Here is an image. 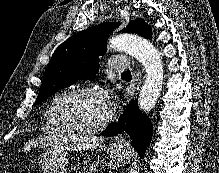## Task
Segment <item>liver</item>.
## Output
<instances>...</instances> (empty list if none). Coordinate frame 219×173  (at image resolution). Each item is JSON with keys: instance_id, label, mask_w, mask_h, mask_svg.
I'll use <instances>...</instances> for the list:
<instances>
[{"instance_id": "6515ba94", "label": "liver", "mask_w": 219, "mask_h": 173, "mask_svg": "<svg viewBox=\"0 0 219 173\" xmlns=\"http://www.w3.org/2000/svg\"><path fill=\"white\" fill-rule=\"evenodd\" d=\"M104 142V138L89 136V137H69L61 140L52 137L39 136L35 139L30 140L24 147V151L27 152L31 148L48 146L59 147L67 150H88L89 148H95Z\"/></svg>"}]
</instances>
